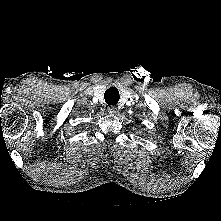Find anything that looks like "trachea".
Returning a JSON list of instances; mask_svg holds the SVG:
<instances>
[{"label":"trachea","instance_id":"3493384b","mask_svg":"<svg viewBox=\"0 0 221 221\" xmlns=\"http://www.w3.org/2000/svg\"><path fill=\"white\" fill-rule=\"evenodd\" d=\"M104 98L108 105H116L120 98L119 91L115 87H111L105 91Z\"/></svg>","mask_w":221,"mask_h":221}]
</instances>
